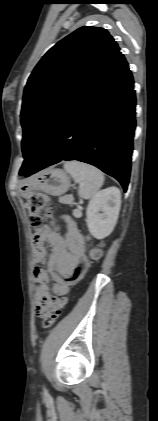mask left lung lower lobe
Here are the masks:
<instances>
[{
	"label": "left lung lower lobe",
	"mask_w": 158,
	"mask_h": 421,
	"mask_svg": "<svg viewBox=\"0 0 158 421\" xmlns=\"http://www.w3.org/2000/svg\"><path fill=\"white\" fill-rule=\"evenodd\" d=\"M133 77L118 51L59 119L26 177L63 160L89 163L127 190L136 126Z\"/></svg>",
	"instance_id": "left-lung-lower-lobe-1"
}]
</instances>
